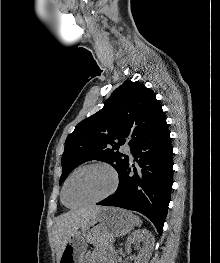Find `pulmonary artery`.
Listing matches in <instances>:
<instances>
[{"mask_svg":"<svg viewBox=\"0 0 220 263\" xmlns=\"http://www.w3.org/2000/svg\"><path fill=\"white\" fill-rule=\"evenodd\" d=\"M126 151H127V153L129 154V156H130L131 158H133V155H132L131 150H130L129 147L126 148Z\"/></svg>","mask_w":220,"mask_h":263,"instance_id":"e3ab8cb5","label":"pulmonary artery"}]
</instances>
